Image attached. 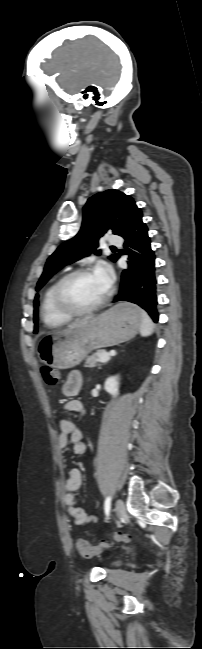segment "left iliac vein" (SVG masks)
I'll use <instances>...</instances> for the list:
<instances>
[{"label": "left iliac vein", "mask_w": 202, "mask_h": 649, "mask_svg": "<svg viewBox=\"0 0 202 649\" xmlns=\"http://www.w3.org/2000/svg\"><path fill=\"white\" fill-rule=\"evenodd\" d=\"M126 509L123 501L121 499H117L116 504H115V515L118 519H121L125 516Z\"/></svg>", "instance_id": "obj_1"}]
</instances>
